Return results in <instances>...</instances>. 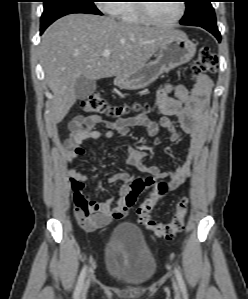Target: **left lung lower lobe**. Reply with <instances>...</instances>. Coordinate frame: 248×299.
<instances>
[{
    "instance_id": "0a47b994",
    "label": "left lung lower lobe",
    "mask_w": 248,
    "mask_h": 299,
    "mask_svg": "<svg viewBox=\"0 0 248 299\" xmlns=\"http://www.w3.org/2000/svg\"><path fill=\"white\" fill-rule=\"evenodd\" d=\"M204 29H206L207 31H209L210 33H212L220 42L221 41V35L220 32L218 31V28L216 25H210V26H200Z\"/></svg>"
}]
</instances>
